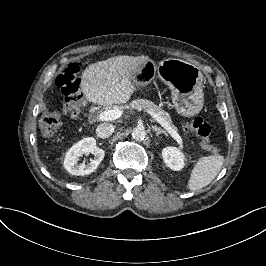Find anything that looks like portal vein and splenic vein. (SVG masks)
<instances>
[{"label":"portal vein and splenic vein","mask_w":266,"mask_h":266,"mask_svg":"<svg viewBox=\"0 0 266 266\" xmlns=\"http://www.w3.org/2000/svg\"><path fill=\"white\" fill-rule=\"evenodd\" d=\"M148 113L153 118H155L157 120V122L164 129H166V131L172 136V138H174V140H176L179 144H182L181 136L178 134V132L175 129H173L170 122L165 121L163 118H161L160 116H158L154 112H148ZM122 114H123V111L119 110V109L106 110V111H103L102 113L99 114L98 119L100 121H112V120L119 119L122 116Z\"/></svg>","instance_id":"18ae733b"}]
</instances>
